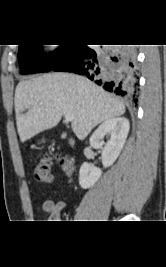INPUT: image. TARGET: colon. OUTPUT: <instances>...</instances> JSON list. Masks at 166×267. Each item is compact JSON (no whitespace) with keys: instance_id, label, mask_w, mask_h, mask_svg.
I'll list each match as a JSON object with an SVG mask.
<instances>
[{"instance_id":"obj_1","label":"colon","mask_w":166,"mask_h":267,"mask_svg":"<svg viewBox=\"0 0 166 267\" xmlns=\"http://www.w3.org/2000/svg\"><path fill=\"white\" fill-rule=\"evenodd\" d=\"M57 161L67 173L73 170V164L66 156L51 154L41 157L35 165V177L39 182L48 183L52 179V163Z\"/></svg>"}]
</instances>
